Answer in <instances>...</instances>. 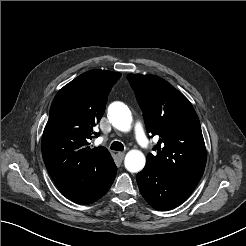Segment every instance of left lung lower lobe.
Masks as SVG:
<instances>
[{
    "instance_id": "0a47b994",
    "label": "left lung lower lobe",
    "mask_w": 246,
    "mask_h": 246,
    "mask_svg": "<svg viewBox=\"0 0 246 246\" xmlns=\"http://www.w3.org/2000/svg\"><path fill=\"white\" fill-rule=\"evenodd\" d=\"M141 194L155 209L170 210L183 203L199 181L144 168L136 176Z\"/></svg>"
}]
</instances>
